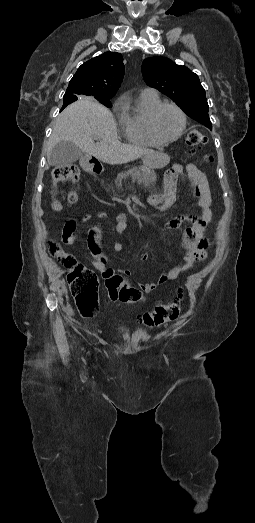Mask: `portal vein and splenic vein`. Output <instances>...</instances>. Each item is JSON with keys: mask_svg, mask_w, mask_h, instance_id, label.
I'll use <instances>...</instances> for the list:
<instances>
[{"mask_svg": "<svg viewBox=\"0 0 255 523\" xmlns=\"http://www.w3.org/2000/svg\"><path fill=\"white\" fill-rule=\"evenodd\" d=\"M95 140H97V138H95ZM129 195H132V192H129Z\"/></svg>", "mask_w": 255, "mask_h": 523, "instance_id": "obj_1", "label": "portal vein and splenic vein"}]
</instances>
